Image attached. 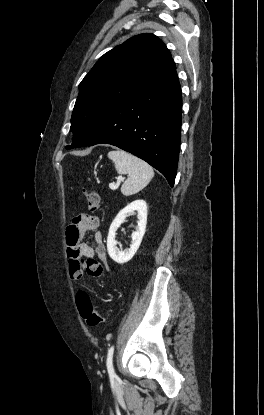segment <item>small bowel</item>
Wrapping results in <instances>:
<instances>
[{
    "label": "small bowel",
    "mask_w": 264,
    "mask_h": 415,
    "mask_svg": "<svg viewBox=\"0 0 264 415\" xmlns=\"http://www.w3.org/2000/svg\"><path fill=\"white\" fill-rule=\"evenodd\" d=\"M90 232L94 233V244L83 241ZM66 243L67 257L84 259L97 257L99 261L107 263V252L97 217H75L67 229Z\"/></svg>",
    "instance_id": "small-bowel-1"
}]
</instances>
